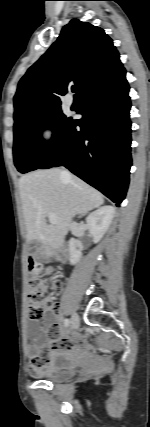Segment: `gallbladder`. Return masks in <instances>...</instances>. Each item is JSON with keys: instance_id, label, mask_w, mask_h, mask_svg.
Masks as SVG:
<instances>
[{"instance_id": "obj_1", "label": "gallbladder", "mask_w": 150, "mask_h": 427, "mask_svg": "<svg viewBox=\"0 0 150 427\" xmlns=\"http://www.w3.org/2000/svg\"><path fill=\"white\" fill-rule=\"evenodd\" d=\"M31 252L36 256L37 259L42 260L43 262H48V258L44 257L41 254V243L38 241H31L30 244Z\"/></svg>"}]
</instances>
